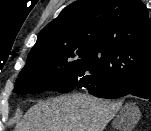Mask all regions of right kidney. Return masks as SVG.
<instances>
[{"mask_svg": "<svg viewBox=\"0 0 151 131\" xmlns=\"http://www.w3.org/2000/svg\"><path fill=\"white\" fill-rule=\"evenodd\" d=\"M131 122H132V121H130L129 124H131ZM117 125L121 127V126L123 125V120H122V119H121V120H118V121H117Z\"/></svg>", "mask_w": 151, "mask_h": 131, "instance_id": "ca27d5eb", "label": "right kidney"}]
</instances>
